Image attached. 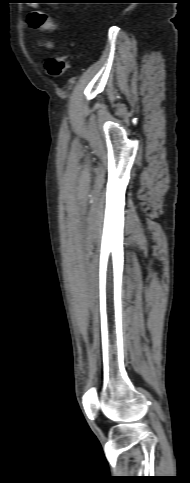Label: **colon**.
<instances>
[{
    "mask_svg": "<svg viewBox=\"0 0 190 483\" xmlns=\"http://www.w3.org/2000/svg\"><path fill=\"white\" fill-rule=\"evenodd\" d=\"M45 72L54 78L66 74L68 70V58L65 53H58L43 62Z\"/></svg>",
    "mask_w": 190,
    "mask_h": 483,
    "instance_id": "5ec220e1",
    "label": "colon"
}]
</instances>
